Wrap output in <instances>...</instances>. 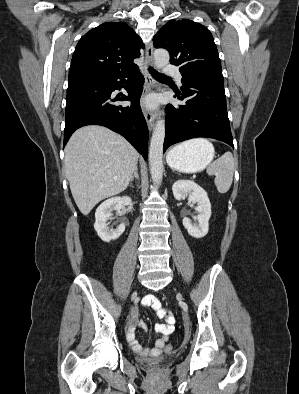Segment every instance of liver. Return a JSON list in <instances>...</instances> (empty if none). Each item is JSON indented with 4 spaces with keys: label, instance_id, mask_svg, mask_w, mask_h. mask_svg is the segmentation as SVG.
<instances>
[{
    "label": "liver",
    "instance_id": "obj_1",
    "mask_svg": "<svg viewBox=\"0 0 299 394\" xmlns=\"http://www.w3.org/2000/svg\"><path fill=\"white\" fill-rule=\"evenodd\" d=\"M138 157L124 137L105 127L85 126L73 133L65 147L64 165L72 196L83 215L127 188Z\"/></svg>",
    "mask_w": 299,
    "mask_h": 394
}]
</instances>
